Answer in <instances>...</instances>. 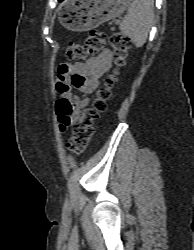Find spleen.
<instances>
[{"mask_svg": "<svg viewBox=\"0 0 194 250\" xmlns=\"http://www.w3.org/2000/svg\"><path fill=\"white\" fill-rule=\"evenodd\" d=\"M153 20V0H133L119 29L136 47H142L147 40Z\"/></svg>", "mask_w": 194, "mask_h": 250, "instance_id": "3e777b00", "label": "spleen"}]
</instances>
